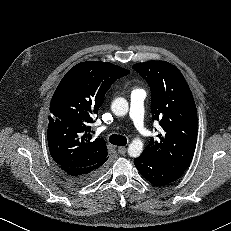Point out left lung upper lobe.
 <instances>
[{
	"label": "left lung upper lobe",
	"instance_id": "1",
	"mask_svg": "<svg viewBox=\"0 0 231 231\" xmlns=\"http://www.w3.org/2000/svg\"><path fill=\"white\" fill-rule=\"evenodd\" d=\"M132 68L150 86L152 118L163 129L142 153L161 164L187 169L197 142V110L184 76L166 61L137 63Z\"/></svg>",
	"mask_w": 231,
	"mask_h": 231
}]
</instances>
